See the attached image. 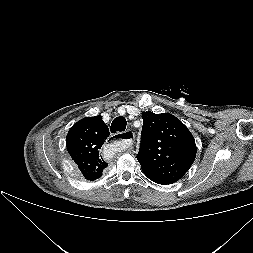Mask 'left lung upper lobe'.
Instances as JSON below:
<instances>
[{
  "instance_id": "obj_1",
  "label": "left lung upper lobe",
  "mask_w": 253,
  "mask_h": 253,
  "mask_svg": "<svg viewBox=\"0 0 253 253\" xmlns=\"http://www.w3.org/2000/svg\"><path fill=\"white\" fill-rule=\"evenodd\" d=\"M141 145L137 159L152 181L167 185L179 180L196 157V144L188 128L170 113L143 112Z\"/></svg>"
}]
</instances>
